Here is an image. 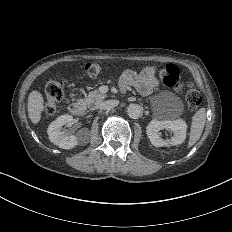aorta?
<instances>
[{
  "mask_svg": "<svg viewBox=\"0 0 232 232\" xmlns=\"http://www.w3.org/2000/svg\"><path fill=\"white\" fill-rule=\"evenodd\" d=\"M127 113L131 118H139L142 115V107L138 104H130Z\"/></svg>",
  "mask_w": 232,
  "mask_h": 232,
  "instance_id": "762f6f07",
  "label": "aorta"
}]
</instances>
